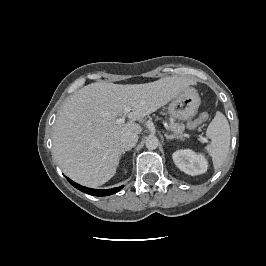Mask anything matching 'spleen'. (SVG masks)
I'll return each mask as SVG.
<instances>
[{
  "mask_svg": "<svg viewBox=\"0 0 266 266\" xmlns=\"http://www.w3.org/2000/svg\"><path fill=\"white\" fill-rule=\"evenodd\" d=\"M206 135L211 139V143L205 149L212 157L214 168L218 169L227 158L230 147V127L223 113H216Z\"/></svg>",
  "mask_w": 266,
  "mask_h": 266,
  "instance_id": "spleen-1",
  "label": "spleen"
}]
</instances>
